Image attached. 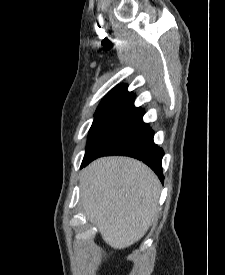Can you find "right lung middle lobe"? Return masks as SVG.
I'll return each mask as SVG.
<instances>
[{
  "instance_id": "dd1d6c3e",
  "label": "right lung middle lobe",
  "mask_w": 225,
  "mask_h": 275,
  "mask_svg": "<svg viewBox=\"0 0 225 275\" xmlns=\"http://www.w3.org/2000/svg\"><path fill=\"white\" fill-rule=\"evenodd\" d=\"M127 117L118 115L98 116L94 118L89 131L85 158H87L103 138Z\"/></svg>"
}]
</instances>
